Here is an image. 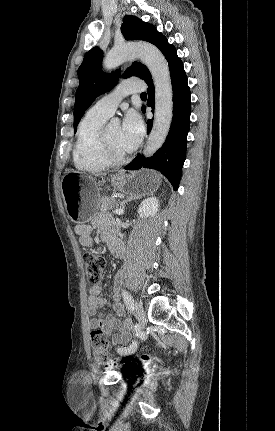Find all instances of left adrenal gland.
<instances>
[{"instance_id":"obj_1","label":"left adrenal gland","mask_w":275,"mask_h":431,"mask_svg":"<svg viewBox=\"0 0 275 431\" xmlns=\"http://www.w3.org/2000/svg\"><path fill=\"white\" fill-rule=\"evenodd\" d=\"M141 198V196H136V195H131V196H129V197H127V199H125V200H123L121 203H120V208L122 209V210H124L125 209V205L128 203V202H131V201H136V200H138V199H140Z\"/></svg>"}]
</instances>
